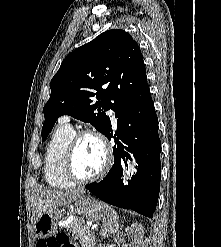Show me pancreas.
I'll list each match as a JSON object with an SVG mask.
<instances>
[{
  "instance_id": "1",
  "label": "pancreas",
  "mask_w": 221,
  "mask_h": 247,
  "mask_svg": "<svg viewBox=\"0 0 221 247\" xmlns=\"http://www.w3.org/2000/svg\"><path fill=\"white\" fill-rule=\"evenodd\" d=\"M66 228H68L70 233L78 238L82 247H94V234L84 225V220L82 218H74Z\"/></svg>"
}]
</instances>
